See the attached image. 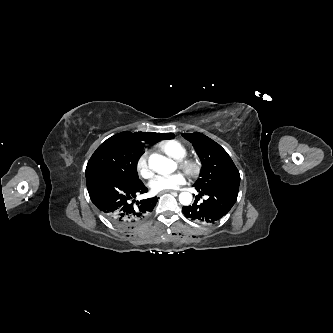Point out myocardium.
Listing matches in <instances>:
<instances>
[{
	"label": "myocardium",
	"instance_id": "1",
	"mask_svg": "<svg viewBox=\"0 0 333 333\" xmlns=\"http://www.w3.org/2000/svg\"><path fill=\"white\" fill-rule=\"evenodd\" d=\"M181 167L191 177L197 176L201 171V162L196 158H186L180 161Z\"/></svg>",
	"mask_w": 333,
	"mask_h": 333
}]
</instances>
